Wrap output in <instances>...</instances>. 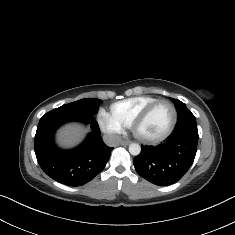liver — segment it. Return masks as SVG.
<instances>
[{
    "label": "liver",
    "instance_id": "liver-1",
    "mask_svg": "<svg viewBox=\"0 0 235 235\" xmlns=\"http://www.w3.org/2000/svg\"><path fill=\"white\" fill-rule=\"evenodd\" d=\"M81 135L82 132L79 127L69 126L59 133V138L64 145H70L78 141Z\"/></svg>",
    "mask_w": 235,
    "mask_h": 235
}]
</instances>
